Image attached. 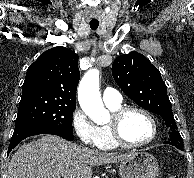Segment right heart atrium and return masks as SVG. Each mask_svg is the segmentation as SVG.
Here are the masks:
<instances>
[{
	"label": "right heart atrium",
	"mask_w": 194,
	"mask_h": 178,
	"mask_svg": "<svg viewBox=\"0 0 194 178\" xmlns=\"http://www.w3.org/2000/svg\"><path fill=\"white\" fill-rule=\"evenodd\" d=\"M71 126L75 135L83 145H97L98 128L79 107L71 115Z\"/></svg>",
	"instance_id": "d8ad5b80"
}]
</instances>
